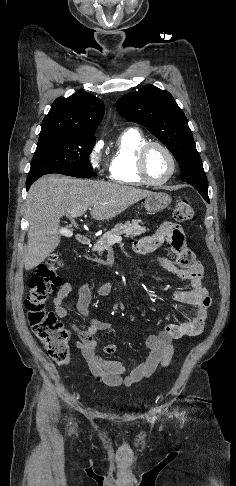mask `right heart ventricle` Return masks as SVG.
Returning <instances> with one entry per match:
<instances>
[{"label": "right heart ventricle", "instance_id": "obj_1", "mask_svg": "<svg viewBox=\"0 0 236 486\" xmlns=\"http://www.w3.org/2000/svg\"><path fill=\"white\" fill-rule=\"evenodd\" d=\"M146 142V136L138 129L130 128L119 135L109 159L111 180L133 186L145 184L137 173L136 158L139 148Z\"/></svg>", "mask_w": 236, "mask_h": 486}]
</instances>
